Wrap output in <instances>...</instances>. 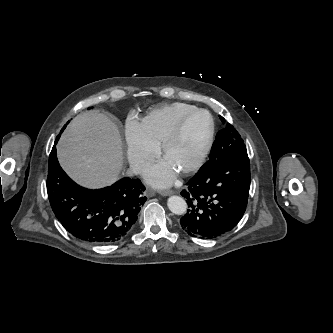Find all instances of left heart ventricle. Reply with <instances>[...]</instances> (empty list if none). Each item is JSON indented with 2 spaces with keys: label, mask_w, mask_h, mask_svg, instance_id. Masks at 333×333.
<instances>
[{
  "label": "left heart ventricle",
  "mask_w": 333,
  "mask_h": 333,
  "mask_svg": "<svg viewBox=\"0 0 333 333\" xmlns=\"http://www.w3.org/2000/svg\"><path fill=\"white\" fill-rule=\"evenodd\" d=\"M210 126L205 113L193 115L186 122L180 139L169 150L166 161L179 171L191 164L197 157Z\"/></svg>",
  "instance_id": "b2bd125f"
}]
</instances>
